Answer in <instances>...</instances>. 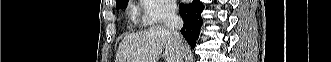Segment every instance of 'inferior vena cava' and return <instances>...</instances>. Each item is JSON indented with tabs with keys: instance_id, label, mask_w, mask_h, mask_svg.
I'll return each instance as SVG.
<instances>
[{
	"instance_id": "1",
	"label": "inferior vena cava",
	"mask_w": 331,
	"mask_h": 62,
	"mask_svg": "<svg viewBox=\"0 0 331 62\" xmlns=\"http://www.w3.org/2000/svg\"><path fill=\"white\" fill-rule=\"evenodd\" d=\"M164 26L170 32L175 46L176 62H183V41L180 30L183 27V20L177 15V7L170 5L167 9Z\"/></svg>"
}]
</instances>
